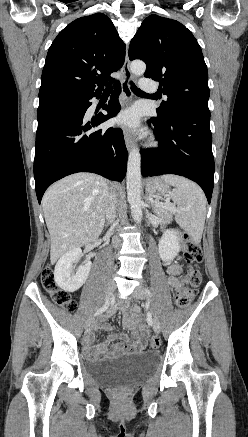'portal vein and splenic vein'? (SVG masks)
<instances>
[{"label": "portal vein and splenic vein", "instance_id": "obj_1", "mask_svg": "<svg viewBox=\"0 0 248 437\" xmlns=\"http://www.w3.org/2000/svg\"><path fill=\"white\" fill-rule=\"evenodd\" d=\"M157 206H160V207L167 208V209H170V210H172V211H175L174 208H170V207H169L168 205H166V204L158 203ZM92 215L95 216V214H92Z\"/></svg>", "mask_w": 248, "mask_h": 437}]
</instances>
